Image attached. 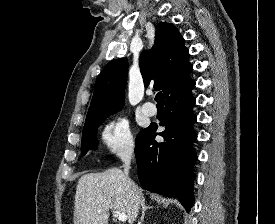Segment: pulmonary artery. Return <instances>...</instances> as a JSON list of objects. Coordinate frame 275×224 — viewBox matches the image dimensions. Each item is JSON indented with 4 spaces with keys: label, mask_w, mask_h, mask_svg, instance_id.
I'll return each mask as SVG.
<instances>
[{
    "label": "pulmonary artery",
    "mask_w": 275,
    "mask_h": 224,
    "mask_svg": "<svg viewBox=\"0 0 275 224\" xmlns=\"http://www.w3.org/2000/svg\"><path fill=\"white\" fill-rule=\"evenodd\" d=\"M142 111L148 116H154L157 109L153 103L147 102L142 105Z\"/></svg>",
    "instance_id": "pulmonary-artery-1"
}]
</instances>
